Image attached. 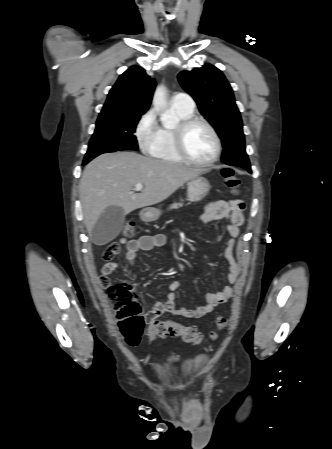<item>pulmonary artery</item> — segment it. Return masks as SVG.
Instances as JSON below:
<instances>
[{"label":"pulmonary artery","instance_id":"obj_1","mask_svg":"<svg viewBox=\"0 0 332 449\" xmlns=\"http://www.w3.org/2000/svg\"><path fill=\"white\" fill-rule=\"evenodd\" d=\"M172 105L188 110L193 111L195 108V103L193 99L186 93H176L171 99Z\"/></svg>","mask_w":332,"mask_h":449}]
</instances>
